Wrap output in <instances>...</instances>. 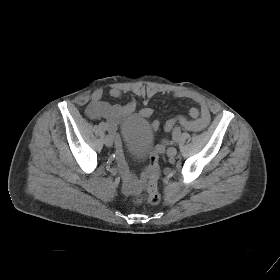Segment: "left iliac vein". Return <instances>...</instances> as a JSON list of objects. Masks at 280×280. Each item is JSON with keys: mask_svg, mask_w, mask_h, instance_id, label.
<instances>
[{"mask_svg": "<svg viewBox=\"0 0 280 280\" xmlns=\"http://www.w3.org/2000/svg\"><path fill=\"white\" fill-rule=\"evenodd\" d=\"M176 154H177V150L175 147L168 148V150H167L168 157L173 158L176 156Z\"/></svg>", "mask_w": 280, "mask_h": 280, "instance_id": "obj_1", "label": "left iliac vein"}]
</instances>
